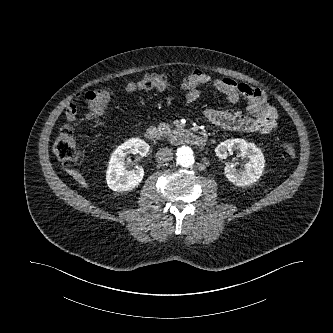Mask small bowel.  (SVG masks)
I'll list each match as a JSON object with an SVG mask.
<instances>
[{"label":"small bowel","mask_w":333,"mask_h":333,"mask_svg":"<svg viewBox=\"0 0 333 333\" xmlns=\"http://www.w3.org/2000/svg\"><path fill=\"white\" fill-rule=\"evenodd\" d=\"M202 86L214 88L230 103H235L240 98H245L248 102L247 115L235 108L206 109L204 117L208 122L232 130L261 134L270 133L277 126V111L267 102L265 93L259 88L228 77L212 78L205 72L195 69L180 83V87L187 91L184 103L190 104L197 100L201 95ZM82 97L85 98V95H79L77 99ZM65 115L69 123H75L77 107L74 102L67 106Z\"/></svg>","instance_id":"small-bowel-1"}]
</instances>
